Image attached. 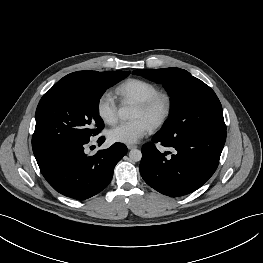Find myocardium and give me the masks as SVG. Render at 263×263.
I'll list each match as a JSON object with an SVG mask.
<instances>
[{"label":"myocardium","instance_id":"1","mask_svg":"<svg viewBox=\"0 0 263 263\" xmlns=\"http://www.w3.org/2000/svg\"><path fill=\"white\" fill-rule=\"evenodd\" d=\"M160 104L162 105V109L151 122L153 129L161 127L170 117L173 110V98L171 94L164 91H158L148 99L136 104V107L146 114L151 113Z\"/></svg>","mask_w":263,"mask_h":263}]
</instances>
